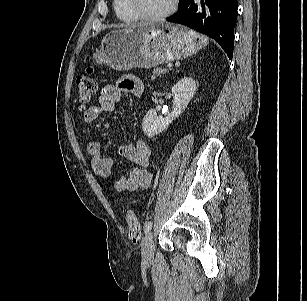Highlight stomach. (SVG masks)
I'll return each instance as SVG.
<instances>
[{"label": "stomach", "mask_w": 307, "mask_h": 301, "mask_svg": "<svg viewBox=\"0 0 307 301\" xmlns=\"http://www.w3.org/2000/svg\"><path fill=\"white\" fill-rule=\"evenodd\" d=\"M206 44L204 36L182 25L140 24L108 33L91 59L117 71L151 68L191 56Z\"/></svg>", "instance_id": "obj_1"}]
</instances>
